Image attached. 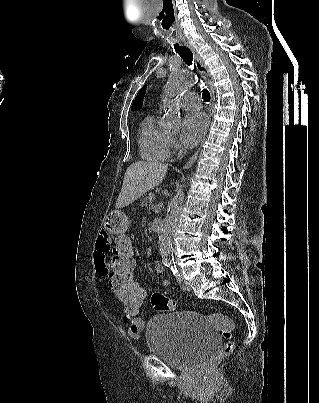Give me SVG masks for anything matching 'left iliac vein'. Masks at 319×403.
I'll use <instances>...</instances> for the list:
<instances>
[{"label":"left iliac vein","instance_id":"1","mask_svg":"<svg viewBox=\"0 0 319 403\" xmlns=\"http://www.w3.org/2000/svg\"><path fill=\"white\" fill-rule=\"evenodd\" d=\"M177 280H178L179 286H180L183 290H185V291H190V286H189V284L186 282V280H184V278H183L181 275L177 276Z\"/></svg>","mask_w":319,"mask_h":403}]
</instances>
